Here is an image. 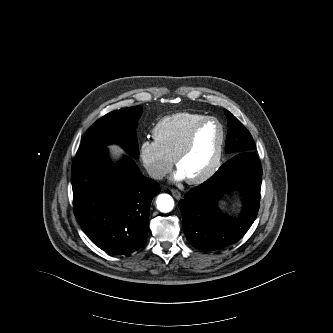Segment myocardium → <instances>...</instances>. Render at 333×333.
<instances>
[{
  "instance_id": "1",
  "label": "myocardium",
  "mask_w": 333,
  "mask_h": 333,
  "mask_svg": "<svg viewBox=\"0 0 333 333\" xmlns=\"http://www.w3.org/2000/svg\"><path fill=\"white\" fill-rule=\"evenodd\" d=\"M209 123L217 124L218 127H219V130H220V141H219V144H218L217 153L215 155V158H214L213 162L211 163V165L209 166V168L206 171H204L199 176H196V177L191 178V179H186L187 182L189 184H192V185L201 184V183L207 181L218 170V168L221 164V160H222L223 152H224V147H225V142H226V132H225L224 125L215 117H206L205 119H203L202 121H200L198 124H196L193 127V129L190 131L189 135L187 136L186 140L184 141V143L179 148V150L177 151V153L175 154V156L173 158L174 164H175L176 168H178V164H179L180 160L193 147V144H194V141H195V138H196L198 132L204 126H206Z\"/></svg>"
}]
</instances>
